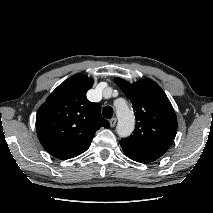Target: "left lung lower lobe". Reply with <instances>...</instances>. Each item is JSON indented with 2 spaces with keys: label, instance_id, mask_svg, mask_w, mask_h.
<instances>
[{
  "label": "left lung lower lobe",
  "instance_id": "left-lung-lower-lobe-1",
  "mask_svg": "<svg viewBox=\"0 0 213 213\" xmlns=\"http://www.w3.org/2000/svg\"><path fill=\"white\" fill-rule=\"evenodd\" d=\"M122 149L125 152V154L134 161H137V162H140V163H150V162L155 161V159L143 157V156L134 154L133 152L126 150L124 148H122Z\"/></svg>",
  "mask_w": 213,
  "mask_h": 213
}]
</instances>
